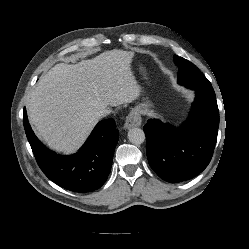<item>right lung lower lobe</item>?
<instances>
[{"label": "right lung lower lobe", "mask_w": 249, "mask_h": 249, "mask_svg": "<svg viewBox=\"0 0 249 249\" xmlns=\"http://www.w3.org/2000/svg\"><path fill=\"white\" fill-rule=\"evenodd\" d=\"M23 123L36 161L51 181L74 192L94 191L105 183L119 139L113 119L100 121L80 150L68 156L56 154L38 140L25 109Z\"/></svg>", "instance_id": "obj_1"}]
</instances>
